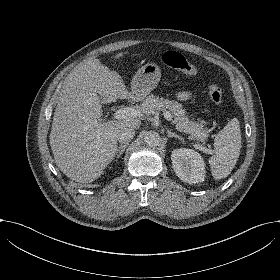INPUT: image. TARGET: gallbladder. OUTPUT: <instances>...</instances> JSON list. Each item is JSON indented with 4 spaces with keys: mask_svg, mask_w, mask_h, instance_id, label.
Returning a JSON list of instances; mask_svg holds the SVG:
<instances>
[{
    "mask_svg": "<svg viewBox=\"0 0 280 280\" xmlns=\"http://www.w3.org/2000/svg\"><path fill=\"white\" fill-rule=\"evenodd\" d=\"M97 98H98V101H99L100 104H104L101 96H97Z\"/></svg>",
    "mask_w": 280,
    "mask_h": 280,
    "instance_id": "bac80fb5",
    "label": "gallbladder"
}]
</instances>
